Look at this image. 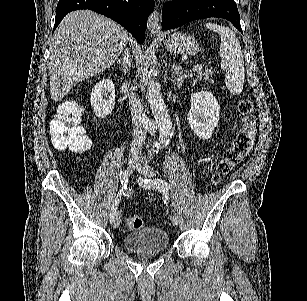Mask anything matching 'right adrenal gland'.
I'll return each mask as SVG.
<instances>
[{
	"mask_svg": "<svg viewBox=\"0 0 307 301\" xmlns=\"http://www.w3.org/2000/svg\"><path fill=\"white\" fill-rule=\"evenodd\" d=\"M116 62H118V64H122V70H123L124 74H126L127 70H129V68L131 66V62H132V56H131L128 48H125L123 58H118V60H116Z\"/></svg>",
	"mask_w": 307,
	"mask_h": 301,
	"instance_id": "1",
	"label": "right adrenal gland"
}]
</instances>
